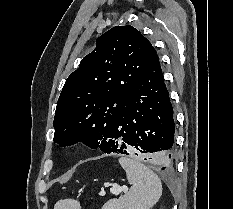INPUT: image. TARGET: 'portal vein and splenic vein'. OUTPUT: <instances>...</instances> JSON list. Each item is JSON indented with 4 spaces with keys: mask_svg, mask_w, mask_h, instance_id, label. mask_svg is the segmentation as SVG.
Listing matches in <instances>:
<instances>
[{
    "mask_svg": "<svg viewBox=\"0 0 233 209\" xmlns=\"http://www.w3.org/2000/svg\"><path fill=\"white\" fill-rule=\"evenodd\" d=\"M121 191L127 192L128 188L127 187H125V188H119V187L110 188V192L114 195H119ZM101 194L104 195L105 193L102 192Z\"/></svg>",
    "mask_w": 233,
    "mask_h": 209,
    "instance_id": "18ae733b",
    "label": "portal vein and splenic vein"
}]
</instances>
